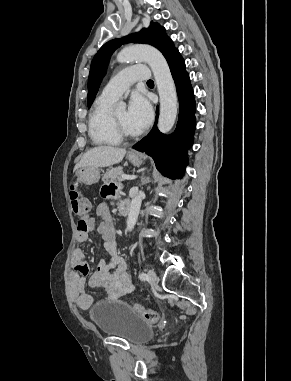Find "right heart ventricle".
Here are the masks:
<instances>
[{"label":"right heart ventricle","mask_w":291,"mask_h":381,"mask_svg":"<svg viewBox=\"0 0 291 381\" xmlns=\"http://www.w3.org/2000/svg\"><path fill=\"white\" fill-rule=\"evenodd\" d=\"M115 100L99 96L89 113L88 133L96 146H116L122 139L114 132L111 123L112 106Z\"/></svg>","instance_id":"right-heart-ventricle-1"}]
</instances>
